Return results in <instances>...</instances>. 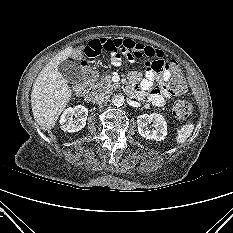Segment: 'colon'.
<instances>
[{
  "mask_svg": "<svg viewBox=\"0 0 233 233\" xmlns=\"http://www.w3.org/2000/svg\"><path fill=\"white\" fill-rule=\"evenodd\" d=\"M170 68L173 71V76L168 83L169 89L176 95H182L187 91V84L179 71L178 65L176 63H171ZM92 80V74L85 69L84 70V80L77 89L82 90L85 84L89 83ZM192 107L190 103L185 100H177L173 105V114L179 120H184L189 117L191 114Z\"/></svg>",
  "mask_w": 233,
  "mask_h": 233,
  "instance_id": "1",
  "label": "colon"
}]
</instances>
